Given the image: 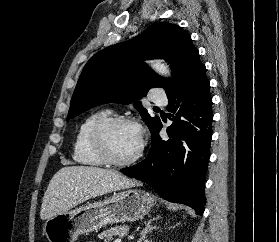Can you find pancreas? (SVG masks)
Masks as SVG:
<instances>
[{"label":"pancreas","mask_w":279,"mask_h":242,"mask_svg":"<svg viewBox=\"0 0 279 242\" xmlns=\"http://www.w3.org/2000/svg\"><path fill=\"white\" fill-rule=\"evenodd\" d=\"M129 229H130V227L127 225L116 226V227L107 229V230L103 231L102 233L98 234V238L104 239V242H111L113 240V238L116 236H118L120 238L125 236L128 233Z\"/></svg>","instance_id":"obj_1"}]
</instances>
